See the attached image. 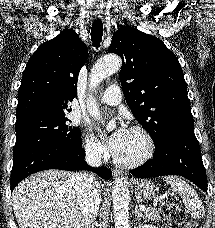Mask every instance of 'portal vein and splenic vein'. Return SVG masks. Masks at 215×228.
Wrapping results in <instances>:
<instances>
[{
	"mask_svg": "<svg viewBox=\"0 0 215 228\" xmlns=\"http://www.w3.org/2000/svg\"><path fill=\"white\" fill-rule=\"evenodd\" d=\"M139 210H141V212H145L146 208L145 206H140Z\"/></svg>",
	"mask_w": 215,
	"mask_h": 228,
	"instance_id": "obj_1",
	"label": "portal vein and splenic vein"
}]
</instances>
